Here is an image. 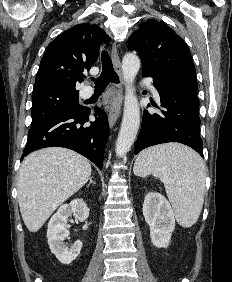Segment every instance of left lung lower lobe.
I'll list each match as a JSON object with an SVG mask.
<instances>
[{
	"instance_id": "left-lung-lower-lobe-1",
	"label": "left lung lower lobe",
	"mask_w": 232,
	"mask_h": 282,
	"mask_svg": "<svg viewBox=\"0 0 232 282\" xmlns=\"http://www.w3.org/2000/svg\"><path fill=\"white\" fill-rule=\"evenodd\" d=\"M142 76L152 77L148 74ZM152 78L160 95V105L164 109L160 113L144 110L142 127L134 145L135 154L149 146L179 142L193 148L203 157L197 82L172 77Z\"/></svg>"
}]
</instances>
